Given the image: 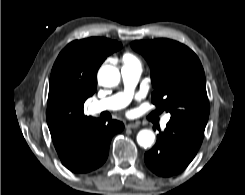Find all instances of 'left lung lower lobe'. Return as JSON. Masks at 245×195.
Masks as SVG:
<instances>
[{
    "label": "left lung lower lobe",
    "mask_w": 245,
    "mask_h": 195,
    "mask_svg": "<svg viewBox=\"0 0 245 195\" xmlns=\"http://www.w3.org/2000/svg\"><path fill=\"white\" fill-rule=\"evenodd\" d=\"M204 127L170 120L157 136L144 160L155 174L169 177L183 171L193 160L204 137Z\"/></svg>",
    "instance_id": "0a47b994"
}]
</instances>
